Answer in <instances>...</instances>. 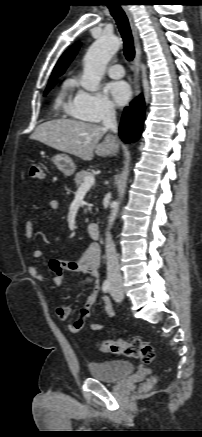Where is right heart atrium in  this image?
Masks as SVG:
<instances>
[{
	"mask_svg": "<svg viewBox=\"0 0 202 437\" xmlns=\"http://www.w3.org/2000/svg\"><path fill=\"white\" fill-rule=\"evenodd\" d=\"M70 113L81 120L100 122L115 115V106L102 92L78 89L70 103Z\"/></svg>",
	"mask_w": 202,
	"mask_h": 437,
	"instance_id": "right-heart-atrium-1",
	"label": "right heart atrium"
}]
</instances>
